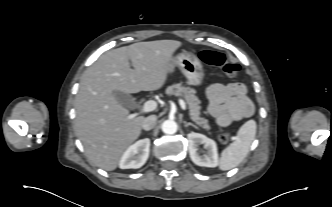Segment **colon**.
Here are the masks:
<instances>
[{"instance_id":"colon-1","label":"colon","mask_w":332,"mask_h":207,"mask_svg":"<svg viewBox=\"0 0 332 207\" xmlns=\"http://www.w3.org/2000/svg\"><path fill=\"white\" fill-rule=\"evenodd\" d=\"M199 56L206 64L219 67L229 78H236L239 74L240 66L237 63L228 61L224 53L212 50H202L199 52ZM218 139L222 143H227L229 141V136L226 133H220Z\"/></svg>"}]
</instances>
